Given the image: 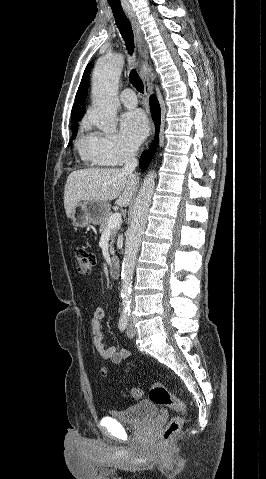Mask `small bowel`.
<instances>
[{
    "mask_svg": "<svg viewBox=\"0 0 266 479\" xmlns=\"http://www.w3.org/2000/svg\"><path fill=\"white\" fill-rule=\"evenodd\" d=\"M104 315V310L101 307H98L93 313L91 320L92 332L94 336L93 344L96 351L102 358L108 359L113 363H120L128 357L129 351L126 349H119L115 346H110L105 342L104 333L101 326V320L104 318Z\"/></svg>",
    "mask_w": 266,
    "mask_h": 479,
    "instance_id": "small-bowel-1",
    "label": "small bowel"
}]
</instances>
